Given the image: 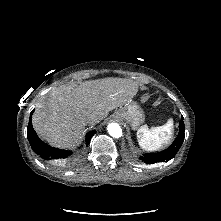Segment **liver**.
Listing matches in <instances>:
<instances>
[{
	"mask_svg": "<svg viewBox=\"0 0 221 221\" xmlns=\"http://www.w3.org/2000/svg\"><path fill=\"white\" fill-rule=\"evenodd\" d=\"M139 85L132 79L108 77L78 85H60L36 105L32 123L37 134L59 148L74 146L85 130L109 112L132 101Z\"/></svg>",
	"mask_w": 221,
	"mask_h": 221,
	"instance_id": "liver-1",
	"label": "liver"
}]
</instances>
